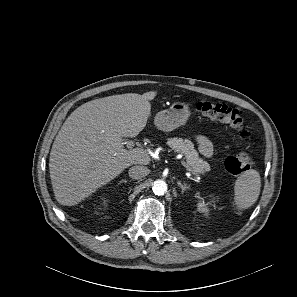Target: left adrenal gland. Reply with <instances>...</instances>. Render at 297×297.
I'll list each match as a JSON object with an SVG mask.
<instances>
[{
	"mask_svg": "<svg viewBox=\"0 0 297 297\" xmlns=\"http://www.w3.org/2000/svg\"><path fill=\"white\" fill-rule=\"evenodd\" d=\"M177 184L182 189V193H184V191L188 189V185L185 183L182 184L180 181H177Z\"/></svg>",
	"mask_w": 297,
	"mask_h": 297,
	"instance_id": "left-adrenal-gland-1",
	"label": "left adrenal gland"
}]
</instances>
